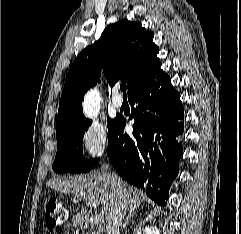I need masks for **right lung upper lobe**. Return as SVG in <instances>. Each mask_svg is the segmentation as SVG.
Here are the masks:
<instances>
[{
  "mask_svg": "<svg viewBox=\"0 0 241 234\" xmlns=\"http://www.w3.org/2000/svg\"><path fill=\"white\" fill-rule=\"evenodd\" d=\"M153 37V32L125 19L109 25L98 41L85 48L66 76L56 132L86 120L82 100L97 84L101 70L110 86L126 81L128 95L150 78L161 65Z\"/></svg>",
  "mask_w": 241,
  "mask_h": 234,
  "instance_id": "cb5924a9",
  "label": "right lung upper lobe"
}]
</instances>
